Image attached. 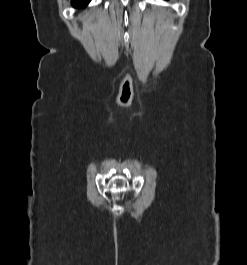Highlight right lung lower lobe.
Instances as JSON below:
<instances>
[{
  "label": "right lung lower lobe",
  "instance_id": "obj_1",
  "mask_svg": "<svg viewBox=\"0 0 247 265\" xmlns=\"http://www.w3.org/2000/svg\"><path fill=\"white\" fill-rule=\"evenodd\" d=\"M90 0H72V5L74 7H84L86 6Z\"/></svg>",
  "mask_w": 247,
  "mask_h": 265
}]
</instances>
